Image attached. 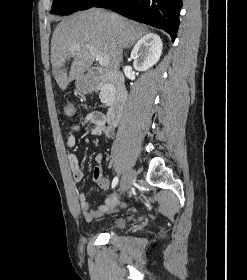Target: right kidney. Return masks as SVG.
<instances>
[{"mask_svg":"<svg viewBox=\"0 0 247 280\" xmlns=\"http://www.w3.org/2000/svg\"><path fill=\"white\" fill-rule=\"evenodd\" d=\"M163 43L155 33H148L142 37L131 52V60L136 70L146 71L155 65L162 54Z\"/></svg>","mask_w":247,"mask_h":280,"instance_id":"right-kidney-1","label":"right kidney"}]
</instances>
